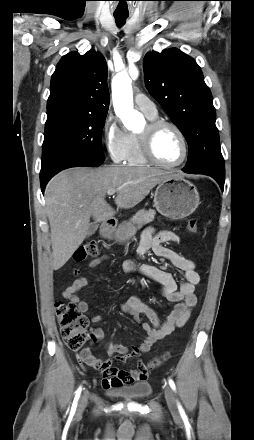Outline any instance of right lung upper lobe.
I'll return each instance as SVG.
<instances>
[{
	"mask_svg": "<svg viewBox=\"0 0 254 440\" xmlns=\"http://www.w3.org/2000/svg\"><path fill=\"white\" fill-rule=\"evenodd\" d=\"M107 64L102 54L70 52L59 61L51 77L47 111L68 107L107 114Z\"/></svg>",
	"mask_w": 254,
	"mask_h": 440,
	"instance_id": "cb5924a9",
	"label": "right lung upper lobe"
}]
</instances>
